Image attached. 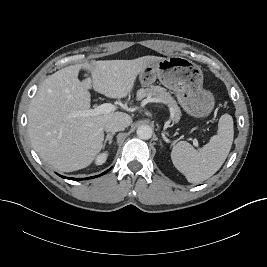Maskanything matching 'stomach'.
<instances>
[{"label": "stomach", "mask_w": 267, "mask_h": 267, "mask_svg": "<svg viewBox=\"0 0 267 267\" xmlns=\"http://www.w3.org/2000/svg\"><path fill=\"white\" fill-rule=\"evenodd\" d=\"M175 92L179 104L191 116H208L214 107V96L203 89V72L191 60L172 56L146 66L139 73L143 86L151 85L156 79Z\"/></svg>", "instance_id": "obj_1"}]
</instances>
